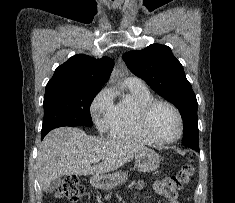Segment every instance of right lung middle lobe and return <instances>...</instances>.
<instances>
[{
    "instance_id": "1",
    "label": "right lung middle lobe",
    "mask_w": 235,
    "mask_h": 203,
    "mask_svg": "<svg viewBox=\"0 0 235 203\" xmlns=\"http://www.w3.org/2000/svg\"><path fill=\"white\" fill-rule=\"evenodd\" d=\"M100 90L79 85L46 88L41 133L62 126H92L90 105Z\"/></svg>"
}]
</instances>
